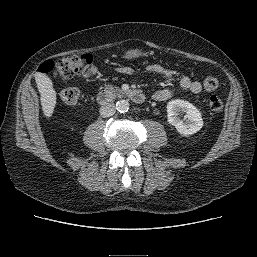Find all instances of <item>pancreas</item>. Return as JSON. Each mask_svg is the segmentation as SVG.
Segmentation results:
<instances>
[{
    "label": "pancreas",
    "mask_w": 257,
    "mask_h": 257,
    "mask_svg": "<svg viewBox=\"0 0 257 257\" xmlns=\"http://www.w3.org/2000/svg\"><path fill=\"white\" fill-rule=\"evenodd\" d=\"M105 91L108 93H116V92H120L121 89H119L118 87H113L112 85H107L105 87Z\"/></svg>",
    "instance_id": "1"
}]
</instances>
